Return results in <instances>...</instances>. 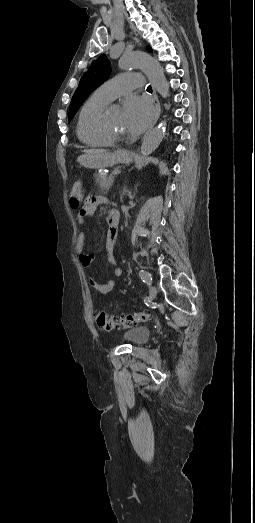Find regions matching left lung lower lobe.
<instances>
[{"label":"left lung lower lobe","instance_id":"left-lung-lower-lobe-1","mask_svg":"<svg viewBox=\"0 0 255 523\" xmlns=\"http://www.w3.org/2000/svg\"><path fill=\"white\" fill-rule=\"evenodd\" d=\"M170 148H173V145H170ZM165 157H166L167 159H170L171 157H173V154H171L170 152H167V153L165 154Z\"/></svg>","mask_w":255,"mask_h":523}]
</instances>
